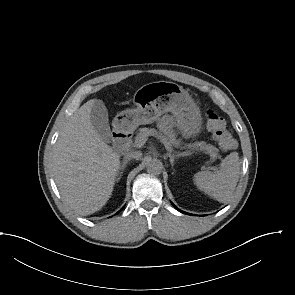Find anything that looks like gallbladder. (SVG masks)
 Segmentation results:
<instances>
[{"label": "gallbladder", "mask_w": 295, "mask_h": 295, "mask_svg": "<svg viewBox=\"0 0 295 295\" xmlns=\"http://www.w3.org/2000/svg\"><path fill=\"white\" fill-rule=\"evenodd\" d=\"M91 122L96 132L106 141H111V130L109 126L108 111L103 101L95 100L91 110Z\"/></svg>", "instance_id": "bac80fb5"}]
</instances>
